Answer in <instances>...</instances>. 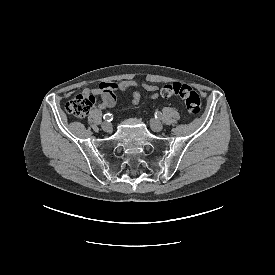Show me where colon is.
Here are the masks:
<instances>
[{
    "mask_svg": "<svg viewBox=\"0 0 275 275\" xmlns=\"http://www.w3.org/2000/svg\"><path fill=\"white\" fill-rule=\"evenodd\" d=\"M160 92L165 98L179 97L182 99L189 117L193 118L200 112V97L189 85L182 82L168 83L162 86ZM94 102V95H77L66 103L65 110L74 117L82 118L87 115Z\"/></svg>",
    "mask_w": 275,
    "mask_h": 275,
    "instance_id": "5ec220e1",
    "label": "colon"
}]
</instances>
